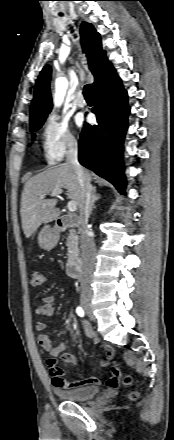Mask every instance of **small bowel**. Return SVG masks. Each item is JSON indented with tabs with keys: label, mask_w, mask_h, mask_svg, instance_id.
I'll use <instances>...</instances> for the list:
<instances>
[{
	"label": "small bowel",
	"mask_w": 174,
	"mask_h": 440,
	"mask_svg": "<svg viewBox=\"0 0 174 440\" xmlns=\"http://www.w3.org/2000/svg\"><path fill=\"white\" fill-rule=\"evenodd\" d=\"M35 313L40 317L50 318L54 313V298L52 296H45L42 299V303L36 306ZM86 334L88 337L94 339V333L90 324L86 321L83 322ZM46 323L43 321H38L36 323V330L40 332L38 336V342L42 349L52 358L47 360V364L50 368L51 378L54 386L74 389L82 386H87L91 384H99L101 380L98 377H83L75 381H68L65 377V371L60 366L57 357H60L64 363L75 364L77 359L74 355L66 353V345L64 343H59L57 346L53 347L49 337L43 332L46 330ZM107 358L109 360L113 359L114 352L109 347L103 348ZM113 382L115 385H111ZM107 385L111 388H116L118 385V372L112 369L111 377L107 380Z\"/></svg>",
	"instance_id": "1"
}]
</instances>
